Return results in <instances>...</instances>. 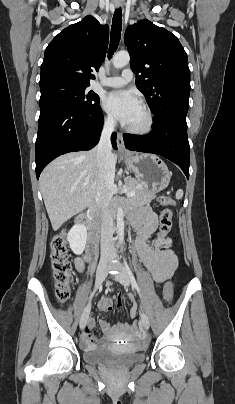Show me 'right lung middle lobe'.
I'll return each instance as SVG.
<instances>
[{
  "label": "right lung middle lobe",
  "instance_id": "1",
  "mask_svg": "<svg viewBox=\"0 0 235 404\" xmlns=\"http://www.w3.org/2000/svg\"><path fill=\"white\" fill-rule=\"evenodd\" d=\"M88 86L67 82H50L40 85V108L45 106H63L72 110H86L99 105V96Z\"/></svg>",
  "mask_w": 235,
  "mask_h": 404
}]
</instances>
